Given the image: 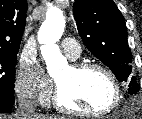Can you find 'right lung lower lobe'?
<instances>
[{
    "label": "right lung lower lobe",
    "mask_w": 142,
    "mask_h": 119,
    "mask_svg": "<svg viewBox=\"0 0 142 119\" xmlns=\"http://www.w3.org/2000/svg\"><path fill=\"white\" fill-rule=\"evenodd\" d=\"M15 97L0 95V113L8 112L12 109Z\"/></svg>",
    "instance_id": "right-lung-lower-lobe-1"
}]
</instances>
